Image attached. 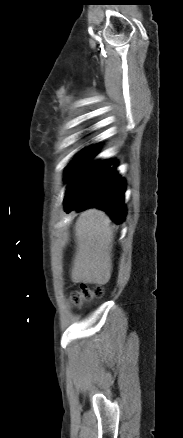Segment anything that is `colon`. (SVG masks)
Returning <instances> with one entry per match:
<instances>
[{"instance_id":"1","label":"colon","mask_w":183,"mask_h":438,"mask_svg":"<svg viewBox=\"0 0 183 438\" xmlns=\"http://www.w3.org/2000/svg\"><path fill=\"white\" fill-rule=\"evenodd\" d=\"M102 294L103 289L100 286L89 287L82 285L79 290L73 293L72 301L76 306H82L95 298L101 297Z\"/></svg>"}]
</instances>
